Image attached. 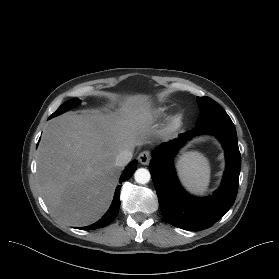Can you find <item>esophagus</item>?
Here are the masks:
<instances>
[{"label": "esophagus", "instance_id": "esophagus-1", "mask_svg": "<svg viewBox=\"0 0 279 279\" xmlns=\"http://www.w3.org/2000/svg\"><path fill=\"white\" fill-rule=\"evenodd\" d=\"M138 160L142 165H148L151 160V155L149 151H142L138 155Z\"/></svg>", "mask_w": 279, "mask_h": 279}]
</instances>
